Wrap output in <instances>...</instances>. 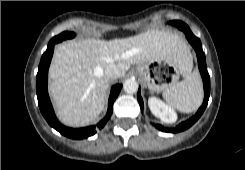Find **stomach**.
<instances>
[{"label":"stomach","mask_w":245,"mask_h":170,"mask_svg":"<svg viewBox=\"0 0 245 170\" xmlns=\"http://www.w3.org/2000/svg\"><path fill=\"white\" fill-rule=\"evenodd\" d=\"M135 73L152 92H161L176 83L181 73L173 60H156L136 67Z\"/></svg>","instance_id":"stomach-1"}]
</instances>
